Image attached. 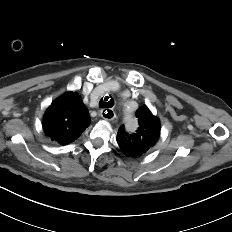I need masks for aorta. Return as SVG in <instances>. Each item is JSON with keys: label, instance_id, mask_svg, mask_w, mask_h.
Returning <instances> with one entry per match:
<instances>
[{"label": "aorta", "instance_id": "obj_1", "mask_svg": "<svg viewBox=\"0 0 232 232\" xmlns=\"http://www.w3.org/2000/svg\"><path fill=\"white\" fill-rule=\"evenodd\" d=\"M125 119L127 122H129L130 124H134V119H133V115L131 112H129L128 110L125 111Z\"/></svg>", "mask_w": 232, "mask_h": 232}]
</instances>
